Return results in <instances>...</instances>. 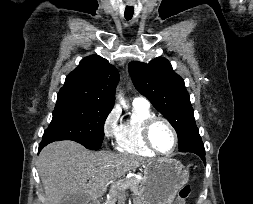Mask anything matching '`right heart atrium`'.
Segmentation results:
<instances>
[{
    "label": "right heart atrium",
    "instance_id": "right-heart-atrium-1",
    "mask_svg": "<svg viewBox=\"0 0 253 204\" xmlns=\"http://www.w3.org/2000/svg\"><path fill=\"white\" fill-rule=\"evenodd\" d=\"M120 116L117 109H111L105 116L102 129L105 139L109 142H114L117 139L120 129Z\"/></svg>",
    "mask_w": 253,
    "mask_h": 204
}]
</instances>
